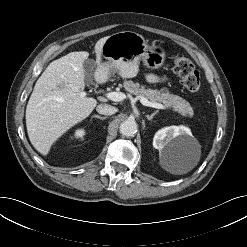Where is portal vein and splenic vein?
Listing matches in <instances>:
<instances>
[{
  "label": "portal vein and splenic vein",
  "instance_id": "obj_1",
  "mask_svg": "<svg viewBox=\"0 0 247 247\" xmlns=\"http://www.w3.org/2000/svg\"><path fill=\"white\" fill-rule=\"evenodd\" d=\"M78 95H80L81 97H85L86 96V92L78 90L77 91ZM106 97L109 100L115 101V102H120L123 101L126 98V95L122 92H108L106 93ZM140 102L144 105V106H148V107H152V108H157V109H165V105L161 104V103H157V102H151L148 99H146L143 96H138Z\"/></svg>",
  "mask_w": 247,
  "mask_h": 247
}]
</instances>
